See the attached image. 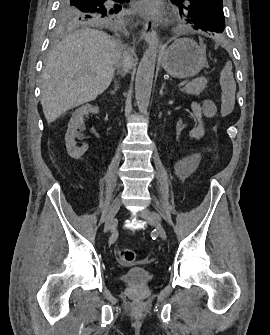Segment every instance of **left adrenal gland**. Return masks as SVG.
I'll return each instance as SVG.
<instances>
[{"label": "left adrenal gland", "instance_id": "left-adrenal-gland-1", "mask_svg": "<svg viewBox=\"0 0 270 335\" xmlns=\"http://www.w3.org/2000/svg\"><path fill=\"white\" fill-rule=\"evenodd\" d=\"M164 86H165V84H162V88L160 90V94H163Z\"/></svg>", "mask_w": 270, "mask_h": 335}]
</instances>
